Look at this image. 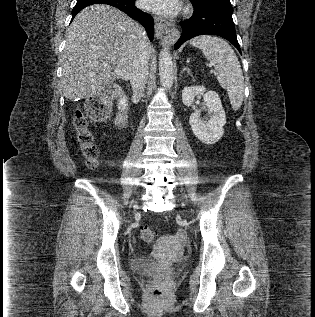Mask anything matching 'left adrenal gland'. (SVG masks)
Returning a JSON list of instances; mask_svg holds the SVG:
<instances>
[{"label":"left adrenal gland","mask_w":315,"mask_h":317,"mask_svg":"<svg viewBox=\"0 0 315 317\" xmlns=\"http://www.w3.org/2000/svg\"><path fill=\"white\" fill-rule=\"evenodd\" d=\"M183 71H187V73H188L191 77H193L192 74H191V71H190V69H189L188 67H184V68H183Z\"/></svg>","instance_id":"1"}]
</instances>
